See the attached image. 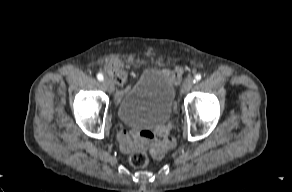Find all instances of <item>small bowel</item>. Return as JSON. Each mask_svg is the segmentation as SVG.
Returning a JSON list of instances; mask_svg holds the SVG:
<instances>
[{"instance_id":"c3829d8e","label":"small bowel","mask_w":292,"mask_h":192,"mask_svg":"<svg viewBox=\"0 0 292 192\" xmlns=\"http://www.w3.org/2000/svg\"><path fill=\"white\" fill-rule=\"evenodd\" d=\"M162 72L173 82L177 83L181 79L183 69L181 67H175L174 69H163ZM175 130L173 127L168 126L165 129L158 130L157 135L162 141H157L154 136L156 131L152 127H148L145 131H135L133 138H131L125 131H120L118 139L121 149L126 152H139L144 150L145 145L149 144L153 153L156 156H161L171 145L173 144V136Z\"/></svg>"}]
</instances>
